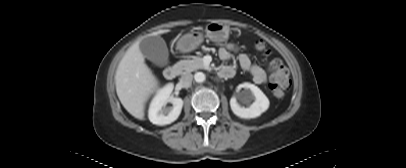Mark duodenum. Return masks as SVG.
<instances>
[{"mask_svg":"<svg viewBox=\"0 0 406 168\" xmlns=\"http://www.w3.org/2000/svg\"><path fill=\"white\" fill-rule=\"evenodd\" d=\"M178 73L179 67L176 65H172L164 70V77L167 80H174L177 77ZM218 74L221 78H230L234 75L233 70L224 68L220 69Z\"/></svg>","mask_w":406,"mask_h":168,"instance_id":"duodenum-1","label":"duodenum"}]
</instances>
